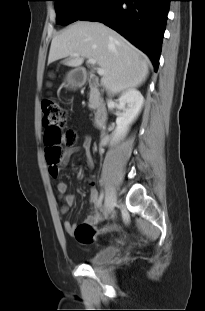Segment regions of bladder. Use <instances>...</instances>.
I'll return each instance as SVG.
<instances>
[{
    "label": "bladder",
    "mask_w": 205,
    "mask_h": 311,
    "mask_svg": "<svg viewBox=\"0 0 205 311\" xmlns=\"http://www.w3.org/2000/svg\"><path fill=\"white\" fill-rule=\"evenodd\" d=\"M118 253L119 247L110 245L90 252L85 256V260L88 264L93 266L104 265L115 260Z\"/></svg>",
    "instance_id": "obj_1"
}]
</instances>
